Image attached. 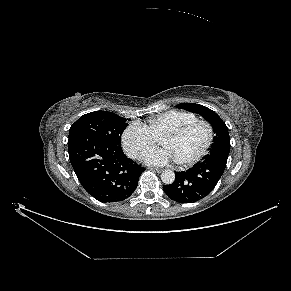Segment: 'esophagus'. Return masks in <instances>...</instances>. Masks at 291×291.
Masks as SVG:
<instances>
[{
    "instance_id": "34e87169",
    "label": "esophagus",
    "mask_w": 291,
    "mask_h": 291,
    "mask_svg": "<svg viewBox=\"0 0 291 291\" xmlns=\"http://www.w3.org/2000/svg\"><path fill=\"white\" fill-rule=\"evenodd\" d=\"M149 169L152 170V171H154V172H157V173L162 172V169H160V168H154V167H151V168H149Z\"/></svg>"
}]
</instances>
